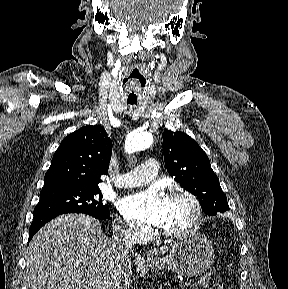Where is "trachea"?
<instances>
[{
  "label": "trachea",
  "instance_id": "3493384b",
  "mask_svg": "<svg viewBox=\"0 0 288 289\" xmlns=\"http://www.w3.org/2000/svg\"><path fill=\"white\" fill-rule=\"evenodd\" d=\"M143 78L142 72L134 67L128 75V84L126 86L125 95L127 98V103L130 106L137 105V100L139 99V82Z\"/></svg>",
  "mask_w": 288,
  "mask_h": 289
}]
</instances>
